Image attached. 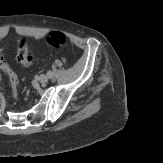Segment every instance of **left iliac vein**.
Segmentation results:
<instances>
[{
    "label": "left iliac vein",
    "instance_id": "left-iliac-vein-1",
    "mask_svg": "<svg viewBox=\"0 0 163 163\" xmlns=\"http://www.w3.org/2000/svg\"><path fill=\"white\" fill-rule=\"evenodd\" d=\"M38 81L42 84H46L48 82V76L42 74L38 77Z\"/></svg>",
    "mask_w": 163,
    "mask_h": 163
}]
</instances>
